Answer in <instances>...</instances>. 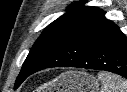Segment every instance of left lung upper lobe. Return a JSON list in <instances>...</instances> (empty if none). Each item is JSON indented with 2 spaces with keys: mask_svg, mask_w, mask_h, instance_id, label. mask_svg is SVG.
Instances as JSON below:
<instances>
[{
  "mask_svg": "<svg viewBox=\"0 0 127 92\" xmlns=\"http://www.w3.org/2000/svg\"><path fill=\"white\" fill-rule=\"evenodd\" d=\"M73 4L67 13L49 24L31 48L16 79L15 89L37 69L43 61L67 41L105 19L97 7Z\"/></svg>",
  "mask_w": 127,
  "mask_h": 92,
  "instance_id": "5c2ea615",
  "label": "left lung upper lobe"
}]
</instances>
